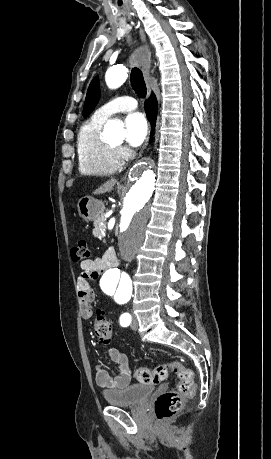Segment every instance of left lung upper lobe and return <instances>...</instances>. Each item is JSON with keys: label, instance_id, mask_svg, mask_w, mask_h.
Wrapping results in <instances>:
<instances>
[{"label": "left lung upper lobe", "instance_id": "1", "mask_svg": "<svg viewBox=\"0 0 271 459\" xmlns=\"http://www.w3.org/2000/svg\"><path fill=\"white\" fill-rule=\"evenodd\" d=\"M100 98V88H99V82L98 78H94L92 82L89 85L85 103H84V109H83V116L87 117L90 112L95 108L97 105L98 101Z\"/></svg>", "mask_w": 271, "mask_h": 459}]
</instances>
